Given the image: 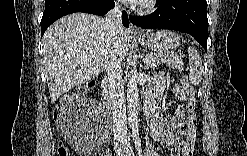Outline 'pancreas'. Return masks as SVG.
Here are the masks:
<instances>
[{
    "label": "pancreas",
    "mask_w": 247,
    "mask_h": 156,
    "mask_svg": "<svg viewBox=\"0 0 247 156\" xmlns=\"http://www.w3.org/2000/svg\"><path fill=\"white\" fill-rule=\"evenodd\" d=\"M146 58L148 62L146 63L147 67H156L161 63H166L172 68H178L179 62L175 60L170 54L164 53H147Z\"/></svg>",
    "instance_id": "1"
}]
</instances>
